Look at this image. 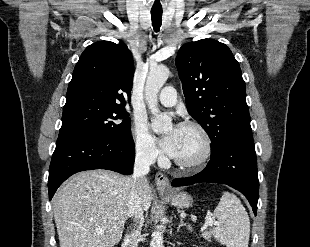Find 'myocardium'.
I'll return each instance as SVG.
<instances>
[{
  "label": "myocardium",
  "instance_id": "1",
  "mask_svg": "<svg viewBox=\"0 0 310 247\" xmlns=\"http://www.w3.org/2000/svg\"><path fill=\"white\" fill-rule=\"evenodd\" d=\"M179 127L193 128L197 130L203 138L204 148H203V153L197 159L187 162V161L178 160L176 158H172L174 164L185 170H196L198 168H201L208 162V160L210 159L212 155L213 146H212V139H211L210 134L208 133V131L206 130L204 126H202L200 123L195 122V121H184L180 123Z\"/></svg>",
  "mask_w": 310,
  "mask_h": 247
}]
</instances>
